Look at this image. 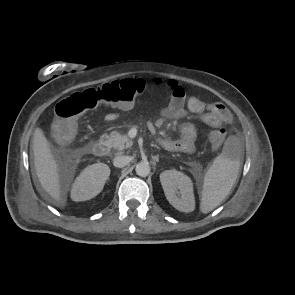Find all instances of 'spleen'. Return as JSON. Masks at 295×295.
<instances>
[{
	"label": "spleen",
	"mask_w": 295,
	"mask_h": 295,
	"mask_svg": "<svg viewBox=\"0 0 295 295\" xmlns=\"http://www.w3.org/2000/svg\"><path fill=\"white\" fill-rule=\"evenodd\" d=\"M235 138L229 137L222 153L204 176L200 211L209 213L229 194L239 173L240 161L234 156Z\"/></svg>",
	"instance_id": "3e777b00"
}]
</instances>
